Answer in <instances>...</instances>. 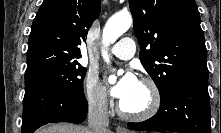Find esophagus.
Returning a JSON list of instances; mask_svg holds the SVG:
<instances>
[{
	"label": "esophagus",
	"instance_id": "34e87169",
	"mask_svg": "<svg viewBox=\"0 0 221 133\" xmlns=\"http://www.w3.org/2000/svg\"><path fill=\"white\" fill-rule=\"evenodd\" d=\"M116 132L117 133H128L123 127H121V126H118L117 128H116Z\"/></svg>",
	"mask_w": 221,
	"mask_h": 133
}]
</instances>
